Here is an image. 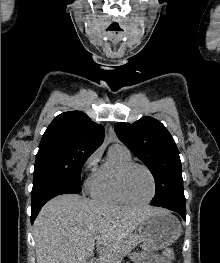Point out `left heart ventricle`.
<instances>
[{
	"mask_svg": "<svg viewBox=\"0 0 220 263\" xmlns=\"http://www.w3.org/2000/svg\"><path fill=\"white\" fill-rule=\"evenodd\" d=\"M125 190L134 201L146 200L152 192V182L148 173L140 167L131 169L125 178Z\"/></svg>",
	"mask_w": 220,
	"mask_h": 263,
	"instance_id": "obj_1",
	"label": "left heart ventricle"
}]
</instances>
